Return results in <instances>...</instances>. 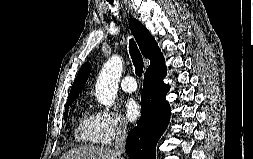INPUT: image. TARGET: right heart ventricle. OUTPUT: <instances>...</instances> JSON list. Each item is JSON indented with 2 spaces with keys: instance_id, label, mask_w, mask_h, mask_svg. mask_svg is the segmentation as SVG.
I'll return each instance as SVG.
<instances>
[{
  "instance_id": "1",
  "label": "right heart ventricle",
  "mask_w": 253,
  "mask_h": 159,
  "mask_svg": "<svg viewBox=\"0 0 253 159\" xmlns=\"http://www.w3.org/2000/svg\"><path fill=\"white\" fill-rule=\"evenodd\" d=\"M74 139L83 145L100 144V133L96 115L88 109H84L76 120L74 128Z\"/></svg>"
}]
</instances>
